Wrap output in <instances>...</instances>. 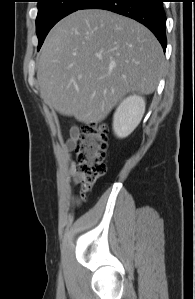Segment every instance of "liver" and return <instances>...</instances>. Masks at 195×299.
Instances as JSON below:
<instances>
[{"mask_svg":"<svg viewBox=\"0 0 195 299\" xmlns=\"http://www.w3.org/2000/svg\"><path fill=\"white\" fill-rule=\"evenodd\" d=\"M163 67L162 47L142 24L106 10H78L46 37L37 82L49 106L90 124L130 92L151 94Z\"/></svg>","mask_w":195,"mask_h":299,"instance_id":"1","label":"liver"}]
</instances>
